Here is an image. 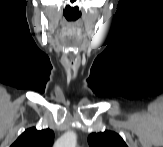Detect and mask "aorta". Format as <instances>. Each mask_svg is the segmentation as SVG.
<instances>
[{
    "label": "aorta",
    "instance_id": "1",
    "mask_svg": "<svg viewBox=\"0 0 163 147\" xmlns=\"http://www.w3.org/2000/svg\"><path fill=\"white\" fill-rule=\"evenodd\" d=\"M76 142V134L74 132H67L57 140L55 147H75Z\"/></svg>",
    "mask_w": 163,
    "mask_h": 147
}]
</instances>
